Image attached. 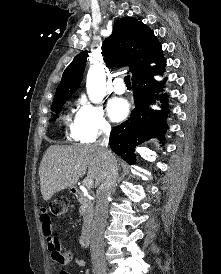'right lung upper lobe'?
Here are the masks:
<instances>
[{
	"mask_svg": "<svg viewBox=\"0 0 221 274\" xmlns=\"http://www.w3.org/2000/svg\"><path fill=\"white\" fill-rule=\"evenodd\" d=\"M106 60L115 66H128L132 80L148 73L164 59L153 31L141 21L126 17L115 22L112 34L102 46ZM87 51L79 53L65 69L55 97L72 95L79 87L86 65ZM155 62L156 66H150Z\"/></svg>",
	"mask_w": 221,
	"mask_h": 274,
	"instance_id": "right-lung-upper-lobe-1",
	"label": "right lung upper lobe"
}]
</instances>
